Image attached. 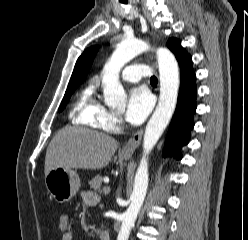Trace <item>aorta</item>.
<instances>
[{"label":"aorta","mask_w":248,"mask_h":240,"mask_svg":"<svg viewBox=\"0 0 248 240\" xmlns=\"http://www.w3.org/2000/svg\"><path fill=\"white\" fill-rule=\"evenodd\" d=\"M150 46L142 40H125L118 45L110 60L103 68V94L105 103L112 108H121L125 105L126 93L119 81L122 67L137 55L148 51ZM160 97L159 102L150 118L143 138V157L137 169L131 203L123 215L121 229L117 240H128L132 227L143 205L148 188V161L147 155L167 127L176 107L179 89V69L173 54L165 49L157 50Z\"/></svg>","instance_id":"obj_1"}]
</instances>
